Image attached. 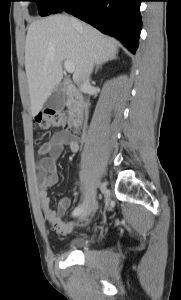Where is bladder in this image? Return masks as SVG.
I'll return each mask as SVG.
<instances>
[{"instance_id":"1","label":"bladder","mask_w":181,"mask_h":300,"mask_svg":"<svg viewBox=\"0 0 181 300\" xmlns=\"http://www.w3.org/2000/svg\"><path fill=\"white\" fill-rule=\"evenodd\" d=\"M90 236L88 234H81L78 239H77V242H76V247H80V246H83L85 245V243H87V241L89 240Z\"/></svg>"}]
</instances>
